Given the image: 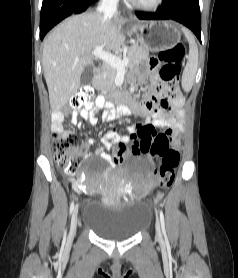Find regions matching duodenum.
I'll list each match as a JSON object with an SVG mask.
<instances>
[{
  "instance_id": "duodenum-1",
  "label": "duodenum",
  "mask_w": 238,
  "mask_h": 278,
  "mask_svg": "<svg viewBox=\"0 0 238 278\" xmlns=\"http://www.w3.org/2000/svg\"><path fill=\"white\" fill-rule=\"evenodd\" d=\"M101 69L99 67L94 68L93 75L94 77H98L100 75Z\"/></svg>"
}]
</instances>
